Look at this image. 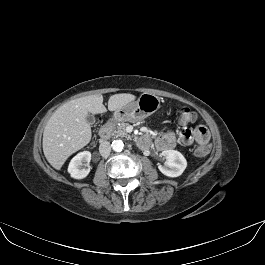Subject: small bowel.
I'll return each mask as SVG.
<instances>
[{"mask_svg":"<svg viewBox=\"0 0 265 265\" xmlns=\"http://www.w3.org/2000/svg\"><path fill=\"white\" fill-rule=\"evenodd\" d=\"M209 140L207 129L198 125L194 129L184 128L180 132V141L184 145H191L196 142L199 146L206 145ZM176 145V136L172 131H164L156 139V146L160 150H169Z\"/></svg>","mask_w":265,"mask_h":265,"instance_id":"1","label":"small bowel"}]
</instances>
